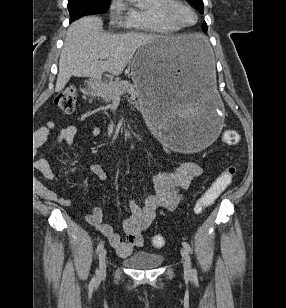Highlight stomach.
<instances>
[{
	"mask_svg": "<svg viewBox=\"0 0 286 308\" xmlns=\"http://www.w3.org/2000/svg\"><path fill=\"white\" fill-rule=\"evenodd\" d=\"M214 48L200 36H156L140 44L131 77L141 92V113L158 144L176 153H200L219 144L222 107ZM93 88V80L88 82Z\"/></svg>",
	"mask_w": 286,
	"mask_h": 308,
	"instance_id": "1",
	"label": "stomach"
}]
</instances>
